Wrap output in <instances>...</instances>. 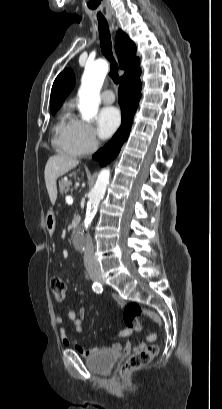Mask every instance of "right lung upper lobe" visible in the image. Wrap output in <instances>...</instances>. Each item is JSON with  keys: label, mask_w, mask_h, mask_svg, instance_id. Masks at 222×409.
I'll return each instance as SVG.
<instances>
[{"label": "right lung upper lobe", "mask_w": 222, "mask_h": 409, "mask_svg": "<svg viewBox=\"0 0 222 409\" xmlns=\"http://www.w3.org/2000/svg\"><path fill=\"white\" fill-rule=\"evenodd\" d=\"M115 50L119 59V66L125 70L120 82L140 73V62L139 58L136 57V46L121 29L116 35ZM74 85V74L70 69L64 70L57 76L51 90V111H57L61 107Z\"/></svg>", "instance_id": "obj_1"}]
</instances>
